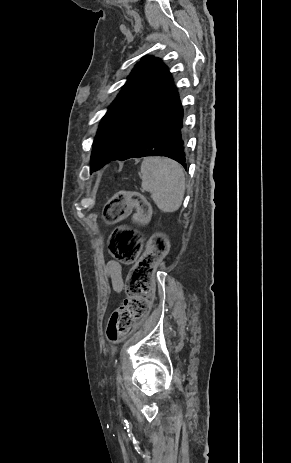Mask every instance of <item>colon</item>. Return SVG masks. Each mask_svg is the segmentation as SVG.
<instances>
[{
    "mask_svg": "<svg viewBox=\"0 0 291 463\" xmlns=\"http://www.w3.org/2000/svg\"><path fill=\"white\" fill-rule=\"evenodd\" d=\"M132 209L135 210V222L145 223L150 218L151 207L141 194L120 191L108 201L105 217L109 221H117L126 217ZM167 247L168 242L163 234L150 236L141 257L128 275L127 298L112 313L108 322L106 335L110 342H118L126 337L135 323L148 313L153 293L152 275ZM141 249L140 234L127 225L116 227L110 235V254L123 264L135 262Z\"/></svg>",
    "mask_w": 291,
    "mask_h": 463,
    "instance_id": "obj_1",
    "label": "colon"
}]
</instances>
